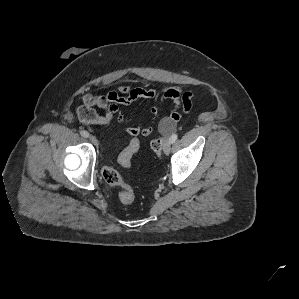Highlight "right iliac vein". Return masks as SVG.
<instances>
[{
  "label": "right iliac vein",
  "instance_id": "obj_1",
  "mask_svg": "<svg viewBox=\"0 0 299 299\" xmlns=\"http://www.w3.org/2000/svg\"><path fill=\"white\" fill-rule=\"evenodd\" d=\"M89 140H90L94 145H97V144H98V140H97L96 137L93 136V135H90V136H89Z\"/></svg>",
  "mask_w": 299,
  "mask_h": 299
}]
</instances>
